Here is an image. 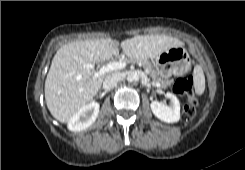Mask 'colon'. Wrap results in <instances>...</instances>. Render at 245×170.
<instances>
[{
  "instance_id": "colon-1",
  "label": "colon",
  "mask_w": 245,
  "mask_h": 170,
  "mask_svg": "<svg viewBox=\"0 0 245 170\" xmlns=\"http://www.w3.org/2000/svg\"><path fill=\"white\" fill-rule=\"evenodd\" d=\"M187 66L188 64L186 67ZM173 89L176 94L186 97V102L183 106V120L189 122L194 117L197 106V98L193 91L192 78L188 74L183 73L176 79Z\"/></svg>"
}]
</instances>
